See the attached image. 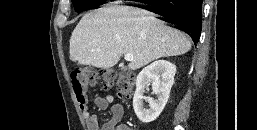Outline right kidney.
<instances>
[{"label":"right kidney","instance_id":"ca27d5eb","mask_svg":"<svg viewBox=\"0 0 257 130\" xmlns=\"http://www.w3.org/2000/svg\"><path fill=\"white\" fill-rule=\"evenodd\" d=\"M176 66L166 60H158L145 67L137 76L136 91L133 97V108L138 119L150 123L161 114L174 84ZM152 83L153 94L157 99L145 97V89ZM143 99L149 103V109L143 107Z\"/></svg>","mask_w":257,"mask_h":130}]
</instances>
